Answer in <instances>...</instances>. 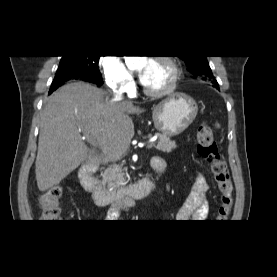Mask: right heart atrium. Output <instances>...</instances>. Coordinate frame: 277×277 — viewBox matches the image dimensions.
Wrapping results in <instances>:
<instances>
[{"mask_svg":"<svg viewBox=\"0 0 277 277\" xmlns=\"http://www.w3.org/2000/svg\"><path fill=\"white\" fill-rule=\"evenodd\" d=\"M99 65L105 83L111 89L126 91L133 85L132 73L119 55H104L101 57Z\"/></svg>","mask_w":277,"mask_h":277,"instance_id":"d8ad5b80","label":"right heart atrium"}]
</instances>
